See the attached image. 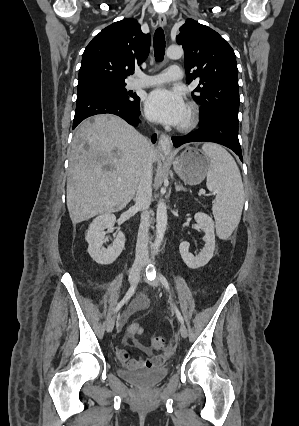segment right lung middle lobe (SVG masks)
Instances as JSON below:
<instances>
[{
  "label": "right lung middle lobe",
  "instance_id": "1",
  "mask_svg": "<svg viewBox=\"0 0 299 426\" xmlns=\"http://www.w3.org/2000/svg\"><path fill=\"white\" fill-rule=\"evenodd\" d=\"M126 84H90L78 86L77 94L91 91V92H101L113 95L117 98H120L127 102H136L137 96L135 94H131L125 89Z\"/></svg>",
  "mask_w": 299,
  "mask_h": 426
}]
</instances>
